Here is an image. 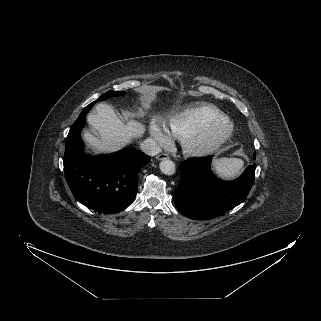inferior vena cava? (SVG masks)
I'll use <instances>...</instances> for the list:
<instances>
[{"label":"inferior vena cava","instance_id":"obj_1","mask_svg":"<svg viewBox=\"0 0 321 321\" xmlns=\"http://www.w3.org/2000/svg\"><path fill=\"white\" fill-rule=\"evenodd\" d=\"M141 150L149 155V156H155L161 152L160 146L157 144V142L153 139H146L140 144Z\"/></svg>","mask_w":321,"mask_h":321}]
</instances>
